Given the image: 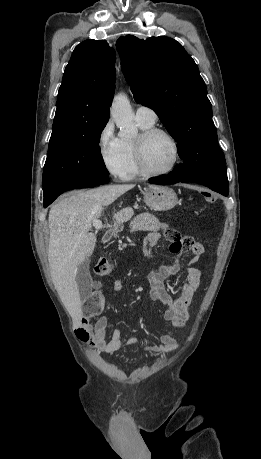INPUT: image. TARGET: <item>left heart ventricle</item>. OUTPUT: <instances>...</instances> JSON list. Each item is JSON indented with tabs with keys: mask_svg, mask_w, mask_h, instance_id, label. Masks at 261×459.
<instances>
[{
	"mask_svg": "<svg viewBox=\"0 0 261 459\" xmlns=\"http://www.w3.org/2000/svg\"><path fill=\"white\" fill-rule=\"evenodd\" d=\"M173 146L171 141L162 134L153 136L145 146V161L149 169L162 171L173 161Z\"/></svg>",
	"mask_w": 261,
	"mask_h": 459,
	"instance_id": "b2bd125f",
	"label": "left heart ventricle"
}]
</instances>
